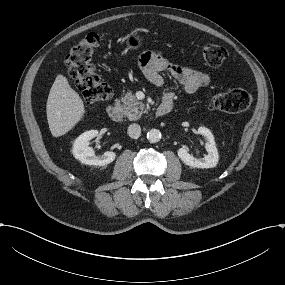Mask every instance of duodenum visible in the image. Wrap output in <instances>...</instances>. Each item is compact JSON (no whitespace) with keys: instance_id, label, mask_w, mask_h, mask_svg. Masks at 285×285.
Instances as JSON below:
<instances>
[{"instance_id":"duodenum-1","label":"duodenum","mask_w":285,"mask_h":285,"mask_svg":"<svg viewBox=\"0 0 285 285\" xmlns=\"http://www.w3.org/2000/svg\"><path fill=\"white\" fill-rule=\"evenodd\" d=\"M173 107V95L166 93L162 99V102L156 109L157 116L167 115ZM107 114L112 121H120L122 114L120 107L117 104H111L107 108Z\"/></svg>"}]
</instances>
